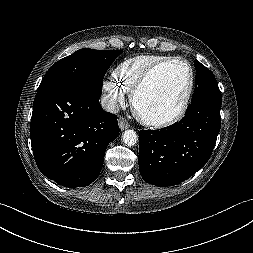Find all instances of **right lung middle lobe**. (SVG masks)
<instances>
[{"label":"right lung middle lobe","mask_w":253,"mask_h":253,"mask_svg":"<svg viewBox=\"0 0 253 253\" xmlns=\"http://www.w3.org/2000/svg\"><path fill=\"white\" fill-rule=\"evenodd\" d=\"M121 53V50L80 49L53 64L38 89L69 84L100 94L105 73Z\"/></svg>","instance_id":"dd1d6c3e"}]
</instances>
